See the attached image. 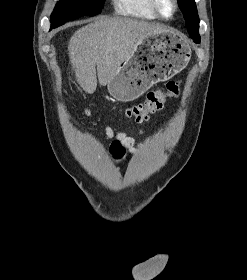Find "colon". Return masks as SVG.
I'll use <instances>...</instances> for the list:
<instances>
[{
    "label": "colon",
    "mask_w": 247,
    "mask_h": 280,
    "mask_svg": "<svg viewBox=\"0 0 247 280\" xmlns=\"http://www.w3.org/2000/svg\"><path fill=\"white\" fill-rule=\"evenodd\" d=\"M180 93V82L169 81L164 90H154L148 92L146 99L139 104L128 107L125 114L128 118L133 119L137 123L146 121L149 115L160 110L166 100L170 97H176ZM110 151L116 157L123 154V148L119 141H114L111 145Z\"/></svg>",
    "instance_id": "5ec220e1"
}]
</instances>
